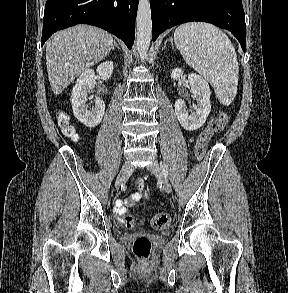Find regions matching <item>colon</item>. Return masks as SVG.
Listing matches in <instances>:
<instances>
[{
    "label": "colon",
    "instance_id": "5ec220e1",
    "mask_svg": "<svg viewBox=\"0 0 288 293\" xmlns=\"http://www.w3.org/2000/svg\"><path fill=\"white\" fill-rule=\"evenodd\" d=\"M229 121V115L226 112H222L213 117L206 128L199 134L197 142L195 144V157L197 160L203 159L207 151L208 143L211 137L221 132ZM59 125L61 126L63 133L72 139H77V133L71 126L69 118L65 113H61L58 117ZM122 222L131 228L135 225V219L131 212L125 211L122 213ZM170 215L165 212L155 214L151 219V224L156 229H165L170 225ZM132 250L134 255L139 259H146L150 255L151 242L146 237H138L134 240Z\"/></svg>",
    "mask_w": 288,
    "mask_h": 293
}]
</instances>
